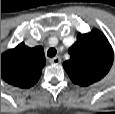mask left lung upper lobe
Masks as SVG:
<instances>
[{"label": "left lung upper lobe", "instance_id": "1", "mask_svg": "<svg viewBox=\"0 0 115 114\" xmlns=\"http://www.w3.org/2000/svg\"><path fill=\"white\" fill-rule=\"evenodd\" d=\"M71 58L63 63L70 79L78 85L89 86L101 80L110 70L114 53L105 35L99 30L79 33L68 50Z\"/></svg>", "mask_w": 115, "mask_h": 114}]
</instances>
